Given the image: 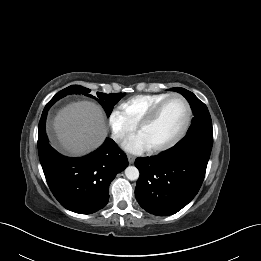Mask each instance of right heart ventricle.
<instances>
[{
  "label": "right heart ventricle",
  "instance_id": "obj_1",
  "mask_svg": "<svg viewBox=\"0 0 261 261\" xmlns=\"http://www.w3.org/2000/svg\"><path fill=\"white\" fill-rule=\"evenodd\" d=\"M168 93L136 95L122 102L121 109L133 125H137L148 112L160 101L166 98Z\"/></svg>",
  "mask_w": 261,
  "mask_h": 261
}]
</instances>
